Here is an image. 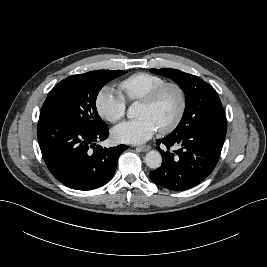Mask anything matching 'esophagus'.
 I'll return each mask as SVG.
<instances>
[{
  "mask_svg": "<svg viewBox=\"0 0 267 267\" xmlns=\"http://www.w3.org/2000/svg\"><path fill=\"white\" fill-rule=\"evenodd\" d=\"M137 149H139L142 152H147V151H149L151 149V146H149V145H143V146L137 147Z\"/></svg>",
  "mask_w": 267,
  "mask_h": 267,
  "instance_id": "obj_1",
  "label": "esophagus"
}]
</instances>
